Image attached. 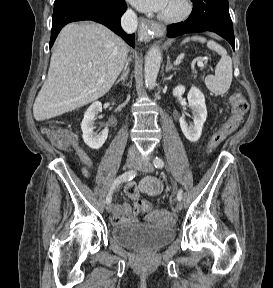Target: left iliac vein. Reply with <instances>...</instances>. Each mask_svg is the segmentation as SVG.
<instances>
[{"label":"left iliac vein","instance_id":"left-iliac-vein-1","mask_svg":"<svg viewBox=\"0 0 273 288\" xmlns=\"http://www.w3.org/2000/svg\"><path fill=\"white\" fill-rule=\"evenodd\" d=\"M136 167L144 173H151L154 170L153 164L147 160H140L137 163ZM182 208H183V204L180 200H178L176 202V209L180 211L182 210Z\"/></svg>","mask_w":273,"mask_h":288}]
</instances>
